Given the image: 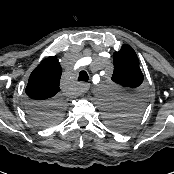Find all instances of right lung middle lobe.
Masks as SVG:
<instances>
[{
	"label": "right lung middle lobe",
	"instance_id": "1",
	"mask_svg": "<svg viewBox=\"0 0 174 174\" xmlns=\"http://www.w3.org/2000/svg\"><path fill=\"white\" fill-rule=\"evenodd\" d=\"M64 102L61 98L46 103H30L27 107L32 121L41 127L52 126L60 122L64 115Z\"/></svg>",
	"mask_w": 174,
	"mask_h": 174
}]
</instances>
